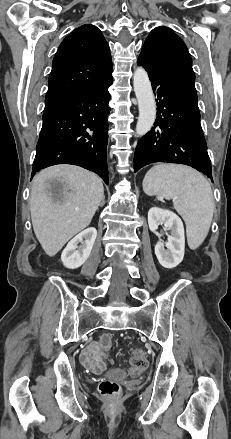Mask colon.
I'll return each mask as SVG.
<instances>
[{
	"mask_svg": "<svg viewBox=\"0 0 231 439\" xmlns=\"http://www.w3.org/2000/svg\"><path fill=\"white\" fill-rule=\"evenodd\" d=\"M99 344L102 355L106 357L112 346L111 337L107 334L103 335ZM147 367L148 359L146 353L142 349H135L130 360L129 373L136 376L143 372ZM98 390L105 398L113 399L118 397L121 392V387L116 381L102 379L99 382Z\"/></svg>",
	"mask_w": 231,
	"mask_h": 439,
	"instance_id": "obj_1",
	"label": "colon"
}]
</instances>
